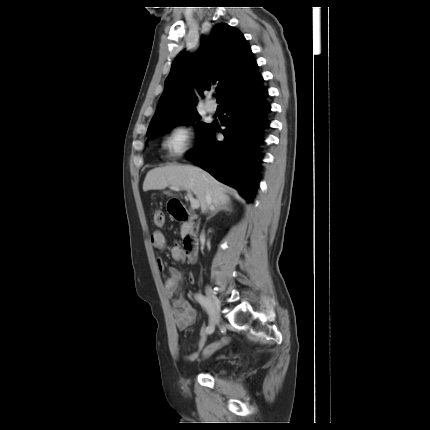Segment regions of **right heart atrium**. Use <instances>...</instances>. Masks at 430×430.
Segmentation results:
<instances>
[{"label":"right heart atrium","mask_w":430,"mask_h":430,"mask_svg":"<svg viewBox=\"0 0 430 430\" xmlns=\"http://www.w3.org/2000/svg\"><path fill=\"white\" fill-rule=\"evenodd\" d=\"M194 138V130L191 125L177 123L166 134L163 148L169 156H179L193 146Z\"/></svg>","instance_id":"d8ad5b80"}]
</instances>
